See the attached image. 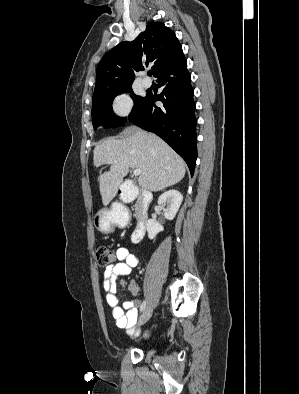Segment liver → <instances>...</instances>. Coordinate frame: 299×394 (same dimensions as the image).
<instances>
[{"mask_svg": "<svg viewBox=\"0 0 299 394\" xmlns=\"http://www.w3.org/2000/svg\"><path fill=\"white\" fill-rule=\"evenodd\" d=\"M123 139H107L94 149V166L110 164V170L99 176L104 205L116 196L130 168L140 169L139 185L157 192L180 182L185 176L184 160L160 137L129 127Z\"/></svg>", "mask_w": 299, "mask_h": 394, "instance_id": "liver-1", "label": "liver"}]
</instances>
